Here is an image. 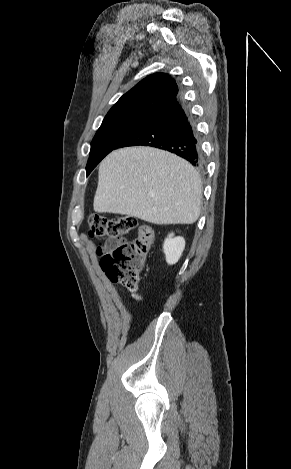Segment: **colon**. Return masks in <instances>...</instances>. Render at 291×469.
I'll list each match as a JSON object with an SVG mask.
<instances>
[{
	"instance_id": "5ec220e1",
	"label": "colon",
	"mask_w": 291,
	"mask_h": 469,
	"mask_svg": "<svg viewBox=\"0 0 291 469\" xmlns=\"http://www.w3.org/2000/svg\"><path fill=\"white\" fill-rule=\"evenodd\" d=\"M136 227V219L127 215L108 218L95 214L89 219L91 235L108 237L107 243L98 248L101 269L110 281L131 291L138 288L140 274L154 240V231L149 224L138 226L134 240L123 239Z\"/></svg>"
}]
</instances>
